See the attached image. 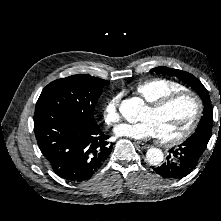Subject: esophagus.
<instances>
[{
  "mask_svg": "<svg viewBox=\"0 0 221 221\" xmlns=\"http://www.w3.org/2000/svg\"><path fill=\"white\" fill-rule=\"evenodd\" d=\"M136 145L140 149H147V148H149V145H147V144H145L143 142H137Z\"/></svg>",
  "mask_w": 221,
  "mask_h": 221,
  "instance_id": "34e87169",
  "label": "esophagus"
}]
</instances>
